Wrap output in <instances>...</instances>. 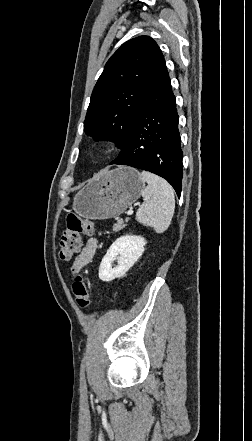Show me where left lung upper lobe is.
<instances>
[{
  "label": "left lung upper lobe",
  "instance_id": "left-lung-upper-lobe-1",
  "mask_svg": "<svg viewBox=\"0 0 252 441\" xmlns=\"http://www.w3.org/2000/svg\"><path fill=\"white\" fill-rule=\"evenodd\" d=\"M161 56L148 36L125 42L112 55L91 95L84 121L87 135L124 147Z\"/></svg>",
  "mask_w": 252,
  "mask_h": 441
}]
</instances>
